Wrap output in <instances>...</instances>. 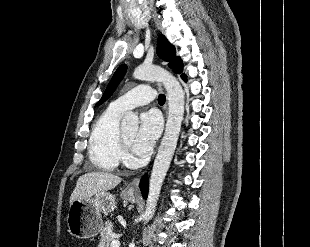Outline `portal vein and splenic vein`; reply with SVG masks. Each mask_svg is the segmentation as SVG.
Masks as SVG:
<instances>
[{
    "label": "portal vein and splenic vein",
    "instance_id": "portal-vein-and-splenic-vein-1",
    "mask_svg": "<svg viewBox=\"0 0 310 247\" xmlns=\"http://www.w3.org/2000/svg\"><path fill=\"white\" fill-rule=\"evenodd\" d=\"M120 246V241L118 239H115L111 243V247H119Z\"/></svg>",
    "mask_w": 310,
    "mask_h": 247
}]
</instances>
